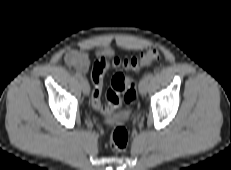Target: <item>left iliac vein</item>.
<instances>
[{
	"label": "left iliac vein",
	"instance_id": "left-iliac-vein-1",
	"mask_svg": "<svg viewBox=\"0 0 231 170\" xmlns=\"http://www.w3.org/2000/svg\"><path fill=\"white\" fill-rule=\"evenodd\" d=\"M149 79L143 77L139 82V92L142 96L146 95L148 89Z\"/></svg>",
	"mask_w": 231,
	"mask_h": 170
}]
</instances>
